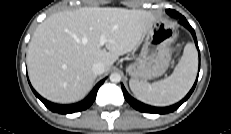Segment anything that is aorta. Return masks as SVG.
Masks as SVG:
<instances>
[{
	"label": "aorta",
	"instance_id": "aorta-1",
	"mask_svg": "<svg viewBox=\"0 0 231 134\" xmlns=\"http://www.w3.org/2000/svg\"><path fill=\"white\" fill-rule=\"evenodd\" d=\"M121 80V75L119 73H112L110 75V81L114 83H118Z\"/></svg>",
	"mask_w": 231,
	"mask_h": 134
}]
</instances>
